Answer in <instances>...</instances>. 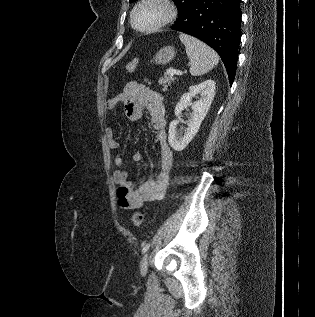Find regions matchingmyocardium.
Returning a JSON list of instances; mask_svg holds the SVG:
<instances>
[{
    "label": "myocardium",
    "instance_id": "myocardium-1",
    "mask_svg": "<svg viewBox=\"0 0 315 317\" xmlns=\"http://www.w3.org/2000/svg\"><path fill=\"white\" fill-rule=\"evenodd\" d=\"M156 4L163 9L162 17L148 27H138L135 23L136 12L144 5ZM177 16V7L172 0H139L133 7L130 21L132 27L138 32H152L170 24Z\"/></svg>",
    "mask_w": 315,
    "mask_h": 317
}]
</instances>
